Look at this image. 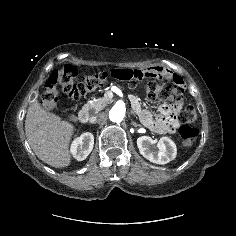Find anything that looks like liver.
I'll list each match as a JSON object with an SVG mask.
<instances>
[{
  "instance_id": "1",
  "label": "liver",
  "mask_w": 236,
  "mask_h": 236,
  "mask_svg": "<svg viewBox=\"0 0 236 236\" xmlns=\"http://www.w3.org/2000/svg\"><path fill=\"white\" fill-rule=\"evenodd\" d=\"M74 130L71 123L45 110L38 100H32L26 115L25 134L40 160L56 168L69 166V144Z\"/></svg>"
}]
</instances>
